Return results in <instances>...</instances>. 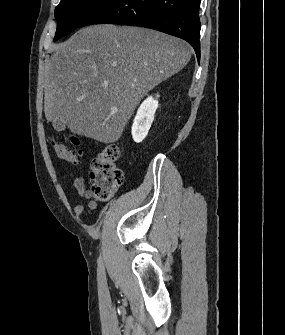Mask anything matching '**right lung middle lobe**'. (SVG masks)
I'll use <instances>...</instances> for the list:
<instances>
[{"label": "right lung middle lobe", "mask_w": 285, "mask_h": 335, "mask_svg": "<svg viewBox=\"0 0 285 335\" xmlns=\"http://www.w3.org/2000/svg\"><path fill=\"white\" fill-rule=\"evenodd\" d=\"M114 2L116 0H61L55 9L58 25L54 41L83 25Z\"/></svg>", "instance_id": "dd1d6c3e"}]
</instances>
